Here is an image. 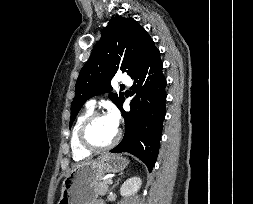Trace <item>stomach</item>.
I'll return each mask as SVG.
<instances>
[{"label":"stomach","instance_id":"1","mask_svg":"<svg viewBox=\"0 0 253 204\" xmlns=\"http://www.w3.org/2000/svg\"><path fill=\"white\" fill-rule=\"evenodd\" d=\"M128 163L120 155L106 153L74 167L63 181L58 204H96L95 186L105 174L120 172Z\"/></svg>","mask_w":253,"mask_h":204}]
</instances>
